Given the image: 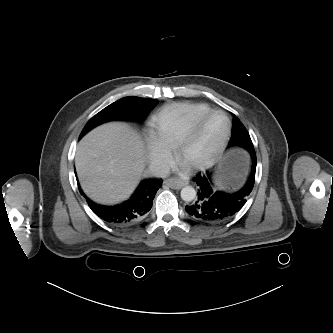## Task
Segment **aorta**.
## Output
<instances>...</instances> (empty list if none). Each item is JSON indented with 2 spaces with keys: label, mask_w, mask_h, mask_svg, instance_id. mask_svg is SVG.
<instances>
[{
  "label": "aorta",
  "mask_w": 333,
  "mask_h": 333,
  "mask_svg": "<svg viewBox=\"0 0 333 333\" xmlns=\"http://www.w3.org/2000/svg\"><path fill=\"white\" fill-rule=\"evenodd\" d=\"M180 195L182 200L186 202H191L196 197V191L192 186H185L184 188H182Z\"/></svg>",
  "instance_id": "762f6f07"
}]
</instances>
